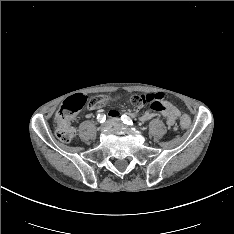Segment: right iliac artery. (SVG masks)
I'll use <instances>...</instances> for the list:
<instances>
[{"label":"right iliac artery","mask_w":234,"mask_h":234,"mask_svg":"<svg viewBox=\"0 0 234 234\" xmlns=\"http://www.w3.org/2000/svg\"><path fill=\"white\" fill-rule=\"evenodd\" d=\"M97 120H98V122L103 123L106 120V115L105 114H99L97 116Z\"/></svg>","instance_id":"right-iliac-artery-1"}]
</instances>
